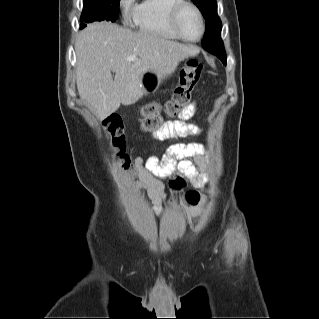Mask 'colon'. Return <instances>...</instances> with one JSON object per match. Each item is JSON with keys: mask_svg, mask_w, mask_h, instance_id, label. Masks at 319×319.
I'll return each mask as SVG.
<instances>
[{"mask_svg": "<svg viewBox=\"0 0 319 319\" xmlns=\"http://www.w3.org/2000/svg\"><path fill=\"white\" fill-rule=\"evenodd\" d=\"M204 65L197 58L189 59L181 68L179 84L175 88L171 100L164 106L149 104L142 109V119L139 129L141 132H157L162 128L163 116H176L186 106L191 94L199 82ZM213 80V78H212ZM106 134L110 139V148L114 153L117 165L129 169L130 158L126 153V138L122 121L119 117L111 118L106 124ZM189 205H196L199 201L198 193L190 191L185 195Z\"/></svg>", "mask_w": 319, "mask_h": 319, "instance_id": "colon-1", "label": "colon"}]
</instances>
